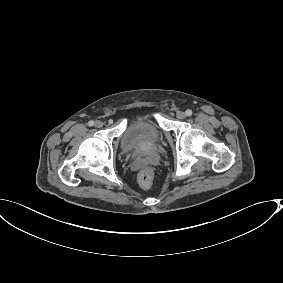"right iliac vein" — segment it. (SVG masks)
I'll use <instances>...</instances> for the list:
<instances>
[{
	"label": "right iliac vein",
	"instance_id": "63e3f726",
	"mask_svg": "<svg viewBox=\"0 0 283 283\" xmlns=\"http://www.w3.org/2000/svg\"><path fill=\"white\" fill-rule=\"evenodd\" d=\"M95 127L97 128H101L103 126V122L100 121V120H97L95 123H94Z\"/></svg>",
	"mask_w": 283,
	"mask_h": 283
}]
</instances>
